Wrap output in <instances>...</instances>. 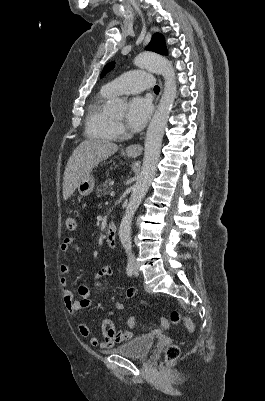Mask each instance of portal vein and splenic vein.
<instances>
[{
  "instance_id": "1",
  "label": "portal vein and splenic vein",
  "mask_w": 265,
  "mask_h": 401,
  "mask_svg": "<svg viewBox=\"0 0 265 401\" xmlns=\"http://www.w3.org/2000/svg\"><path fill=\"white\" fill-rule=\"evenodd\" d=\"M111 196H112V197H115V196H116V191H115V190H112V191H111Z\"/></svg>"
}]
</instances>
